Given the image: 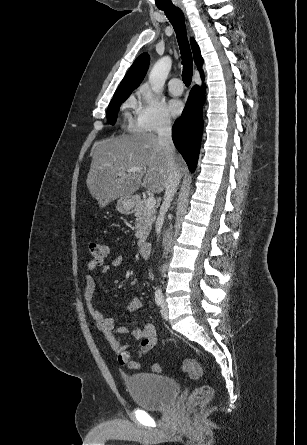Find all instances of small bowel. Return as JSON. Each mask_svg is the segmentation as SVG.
<instances>
[{
    "mask_svg": "<svg viewBox=\"0 0 307 445\" xmlns=\"http://www.w3.org/2000/svg\"><path fill=\"white\" fill-rule=\"evenodd\" d=\"M125 263V258L119 255L113 259L110 265L103 267L102 272L104 274L110 273L113 269L121 267ZM97 263L95 261H90L87 264L88 273L85 275V287L84 295L86 307L91 314L95 324L105 336L109 342L112 349L118 355V361L122 365H126L130 368H137L139 363L133 358L129 351L128 344H122L118 339V335H125L129 333V329L126 326L120 325L115 326L114 320L112 318L105 317L100 313L95 306L94 294L96 291V281L92 272L97 268ZM143 307L141 299L134 297L131 299L127 306V311L129 313H134ZM132 337L139 342L136 356L137 358L149 353L157 345L158 337L156 334V329L153 324L147 323L141 328H137L131 332Z\"/></svg>",
    "mask_w": 307,
    "mask_h": 445,
    "instance_id": "obj_1",
    "label": "small bowel"
}]
</instances>
